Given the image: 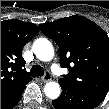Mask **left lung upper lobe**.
Wrapping results in <instances>:
<instances>
[{
	"instance_id": "5c2ea615",
	"label": "left lung upper lobe",
	"mask_w": 109,
	"mask_h": 109,
	"mask_svg": "<svg viewBox=\"0 0 109 109\" xmlns=\"http://www.w3.org/2000/svg\"><path fill=\"white\" fill-rule=\"evenodd\" d=\"M59 47L60 65L69 73L59 82L105 98L109 91V38L94 22L70 16L41 24Z\"/></svg>"
}]
</instances>
